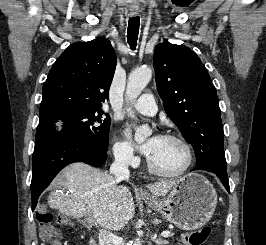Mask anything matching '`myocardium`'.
<instances>
[{"mask_svg": "<svg viewBox=\"0 0 266 245\" xmlns=\"http://www.w3.org/2000/svg\"><path fill=\"white\" fill-rule=\"evenodd\" d=\"M161 137L168 139V140H174L179 143H181L186 151V162L184 167L176 172V173H163L158 170H156L153 165L151 164L150 160H147V168L148 171L156 177L159 178H167V179H175V178H180L183 175H185L190 168L192 167L193 161H194V152L191 144L182 136L178 134H173V133H165Z\"/></svg>", "mask_w": 266, "mask_h": 245, "instance_id": "myocardium-1", "label": "myocardium"}]
</instances>
